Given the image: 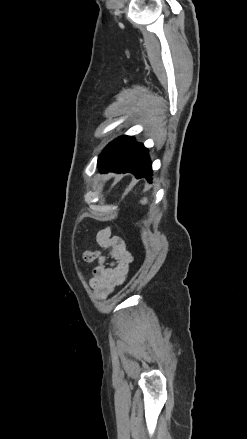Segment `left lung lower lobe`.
<instances>
[{
    "mask_svg": "<svg viewBox=\"0 0 247 439\" xmlns=\"http://www.w3.org/2000/svg\"><path fill=\"white\" fill-rule=\"evenodd\" d=\"M101 172L114 171L118 173H133L136 178L145 177L148 181L151 180L152 168L151 161L149 159L148 150L143 144L135 142L125 166L120 169H109L108 167H100Z\"/></svg>",
    "mask_w": 247,
    "mask_h": 439,
    "instance_id": "1",
    "label": "left lung lower lobe"
}]
</instances>
